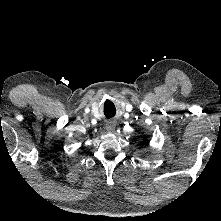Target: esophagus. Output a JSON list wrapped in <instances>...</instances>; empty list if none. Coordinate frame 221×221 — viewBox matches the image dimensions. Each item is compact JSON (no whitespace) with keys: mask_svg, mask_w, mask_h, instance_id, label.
Segmentation results:
<instances>
[{"mask_svg":"<svg viewBox=\"0 0 221 221\" xmlns=\"http://www.w3.org/2000/svg\"><path fill=\"white\" fill-rule=\"evenodd\" d=\"M115 129V123L113 121H109L107 124H106V130L111 133L113 132Z\"/></svg>","mask_w":221,"mask_h":221,"instance_id":"obj_1","label":"esophagus"}]
</instances>
